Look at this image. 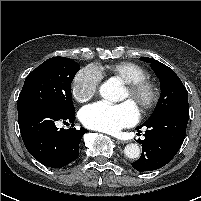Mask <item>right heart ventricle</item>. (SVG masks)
Returning <instances> with one entry per match:
<instances>
[{"label":"right heart ventricle","instance_id":"right-heart-ventricle-1","mask_svg":"<svg viewBox=\"0 0 201 201\" xmlns=\"http://www.w3.org/2000/svg\"><path fill=\"white\" fill-rule=\"evenodd\" d=\"M97 70L101 75L107 73L121 79L124 83L145 79L147 77V72L143 67L129 61L98 67Z\"/></svg>","mask_w":201,"mask_h":201}]
</instances>
